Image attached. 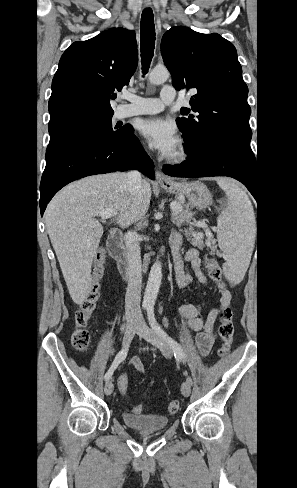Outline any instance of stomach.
I'll return each instance as SVG.
<instances>
[{
	"label": "stomach",
	"instance_id": "0dacf381",
	"mask_svg": "<svg viewBox=\"0 0 297 488\" xmlns=\"http://www.w3.org/2000/svg\"><path fill=\"white\" fill-rule=\"evenodd\" d=\"M161 186L167 193L174 194L179 200L187 199L189 204L198 209H205L212 203V194L200 181H172Z\"/></svg>",
	"mask_w": 297,
	"mask_h": 488
}]
</instances>
